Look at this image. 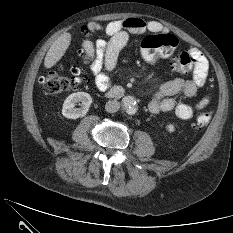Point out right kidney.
Masks as SVG:
<instances>
[{
    "mask_svg": "<svg viewBox=\"0 0 233 233\" xmlns=\"http://www.w3.org/2000/svg\"><path fill=\"white\" fill-rule=\"evenodd\" d=\"M78 102H82L81 108H75V105ZM91 103L92 98L88 93H72L65 99L63 103L62 114L64 117L69 119L84 117L87 114Z\"/></svg>",
    "mask_w": 233,
    "mask_h": 233,
    "instance_id": "right-kidney-1",
    "label": "right kidney"
}]
</instances>
